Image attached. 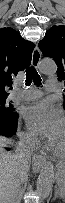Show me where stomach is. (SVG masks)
Here are the masks:
<instances>
[{"instance_id":"stomach-1","label":"stomach","mask_w":65,"mask_h":203,"mask_svg":"<svg viewBox=\"0 0 65 203\" xmlns=\"http://www.w3.org/2000/svg\"><path fill=\"white\" fill-rule=\"evenodd\" d=\"M58 186H59L60 196L64 197L65 196V169H61L59 171Z\"/></svg>"}]
</instances>
